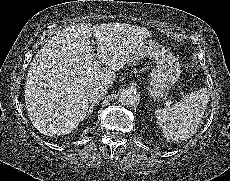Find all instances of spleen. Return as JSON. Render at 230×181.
I'll list each match as a JSON object with an SVG mask.
<instances>
[{
    "label": "spleen",
    "mask_w": 230,
    "mask_h": 181,
    "mask_svg": "<svg viewBox=\"0 0 230 181\" xmlns=\"http://www.w3.org/2000/svg\"><path fill=\"white\" fill-rule=\"evenodd\" d=\"M207 91L193 92L172 107L160 108L155 116L167 140L190 138L197 130L207 105Z\"/></svg>",
    "instance_id": "spleen-1"
}]
</instances>
